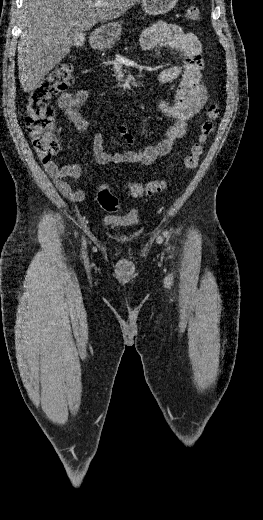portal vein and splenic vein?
Returning a JSON list of instances; mask_svg holds the SVG:
<instances>
[{
	"instance_id": "1",
	"label": "portal vein and splenic vein",
	"mask_w": 263,
	"mask_h": 520,
	"mask_svg": "<svg viewBox=\"0 0 263 520\" xmlns=\"http://www.w3.org/2000/svg\"><path fill=\"white\" fill-rule=\"evenodd\" d=\"M104 5H105V4L102 3L101 1H98V2H96V3L94 4V6L97 7V8H98V7H101V6H104Z\"/></svg>"
}]
</instances>
